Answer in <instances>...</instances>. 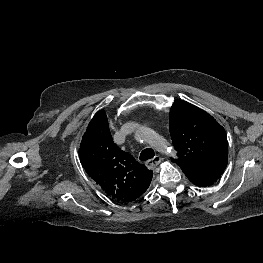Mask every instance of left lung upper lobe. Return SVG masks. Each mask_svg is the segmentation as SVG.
Returning a JSON list of instances; mask_svg holds the SVG:
<instances>
[{
    "mask_svg": "<svg viewBox=\"0 0 263 263\" xmlns=\"http://www.w3.org/2000/svg\"><path fill=\"white\" fill-rule=\"evenodd\" d=\"M170 134L177 163L184 173L222 175L228 160V143L224 128L202 109L176 101L169 115Z\"/></svg>",
    "mask_w": 263,
    "mask_h": 263,
    "instance_id": "1",
    "label": "left lung upper lobe"
}]
</instances>
